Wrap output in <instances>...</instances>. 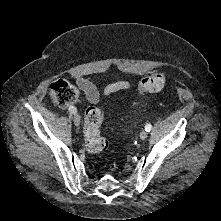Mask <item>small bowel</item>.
Segmentation results:
<instances>
[{
	"label": "small bowel",
	"mask_w": 221,
	"mask_h": 221,
	"mask_svg": "<svg viewBox=\"0 0 221 221\" xmlns=\"http://www.w3.org/2000/svg\"><path fill=\"white\" fill-rule=\"evenodd\" d=\"M77 84L83 90L87 100L90 103L94 104V103L98 102L99 92L92 82H90L89 80H87L85 78H78ZM130 88H131L130 82H128L124 79H118V80H114V81L108 83L105 86L104 94L108 96V95H111V94L116 93L118 91L128 90Z\"/></svg>",
	"instance_id": "obj_1"
}]
</instances>
